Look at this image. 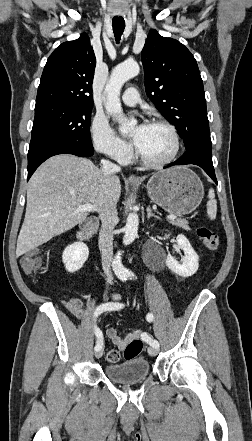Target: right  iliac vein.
I'll list each match as a JSON object with an SVG mask.
<instances>
[{
  "instance_id": "1",
  "label": "right iliac vein",
  "mask_w": 252,
  "mask_h": 441,
  "mask_svg": "<svg viewBox=\"0 0 252 441\" xmlns=\"http://www.w3.org/2000/svg\"><path fill=\"white\" fill-rule=\"evenodd\" d=\"M102 354H103V349L101 348L100 350H97L95 352V357L96 358H100L102 356Z\"/></svg>"
}]
</instances>
